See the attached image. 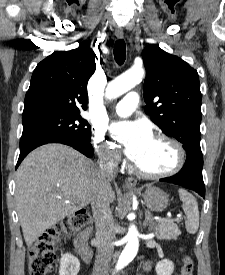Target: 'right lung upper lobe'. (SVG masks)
<instances>
[{
    "instance_id": "cb5924a9",
    "label": "right lung upper lobe",
    "mask_w": 225,
    "mask_h": 275,
    "mask_svg": "<svg viewBox=\"0 0 225 275\" xmlns=\"http://www.w3.org/2000/svg\"><path fill=\"white\" fill-rule=\"evenodd\" d=\"M95 67V54L87 43L54 52L35 68L22 115L86 110L87 82Z\"/></svg>"
}]
</instances>
